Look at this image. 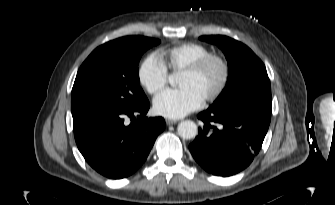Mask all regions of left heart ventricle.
<instances>
[{
	"label": "left heart ventricle",
	"instance_id": "left-heart-ventricle-1",
	"mask_svg": "<svg viewBox=\"0 0 335 205\" xmlns=\"http://www.w3.org/2000/svg\"><path fill=\"white\" fill-rule=\"evenodd\" d=\"M221 74V66L217 62H213L198 75L181 73L179 86L181 88L191 87L204 98L216 89L221 79Z\"/></svg>",
	"mask_w": 335,
	"mask_h": 205
}]
</instances>
